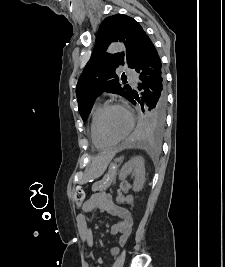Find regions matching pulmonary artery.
Returning <instances> with one entry per match:
<instances>
[{
	"mask_svg": "<svg viewBox=\"0 0 225 267\" xmlns=\"http://www.w3.org/2000/svg\"><path fill=\"white\" fill-rule=\"evenodd\" d=\"M125 74L127 75V77L130 79L131 83L133 85H135L136 83V78H137V73L132 70V69H126L125 70Z\"/></svg>",
	"mask_w": 225,
	"mask_h": 267,
	"instance_id": "1",
	"label": "pulmonary artery"
}]
</instances>
